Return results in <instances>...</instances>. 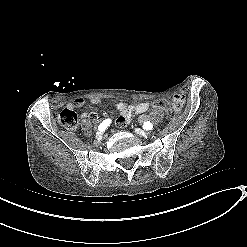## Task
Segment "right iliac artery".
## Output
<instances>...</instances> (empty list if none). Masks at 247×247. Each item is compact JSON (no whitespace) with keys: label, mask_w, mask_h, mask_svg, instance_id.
Here are the masks:
<instances>
[{"label":"right iliac artery","mask_w":247,"mask_h":247,"mask_svg":"<svg viewBox=\"0 0 247 247\" xmlns=\"http://www.w3.org/2000/svg\"><path fill=\"white\" fill-rule=\"evenodd\" d=\"M110 123H111V120H110V119L104 120V121L99 125L98 130H99L100 132L105 131V129H107L108 126H110Z\"/></svg>","instance_id":"1"}]
</instances>
